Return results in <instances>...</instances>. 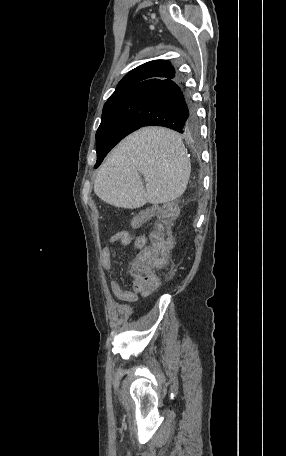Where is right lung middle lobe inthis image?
<instances>
[{"label": "right lung middle lobe", "mask_w": 286, "mask_h": 456, "mask_svg": "<svg viewBox=\"0 0 286 456\" xmlns=\"http://www.w3.org/2000/svg\"><path fill=\"white\" fill-rule=\"evenodd\" d=\"M133 132L129 106L126 99L120 98L105 103L102 121L96 133L97 168L107 153L125 136Z\"/></svg>", "instance_id": "obj_1"}]
</instances>
